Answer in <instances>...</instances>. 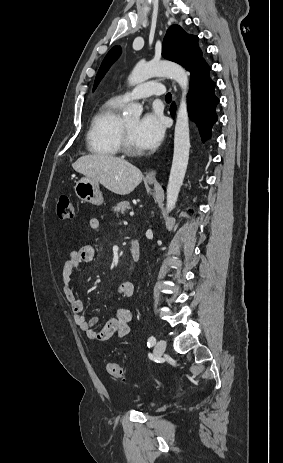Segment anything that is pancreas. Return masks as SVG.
Wrapping results in <instances>:
<instances>
[{"label":"pancreas","instance_id":"pancreas-1","mask_svg":"<svg viewBox=\"0 0 283 463\" xmlns=\"http://www.w3.org/2000/svg\"><path fill=\"white\" fill-rule=\"evenodd\" d=\"M131 209L130 203L128 201L119 202L116 206L113 207V211L117 214L120 212L124 214L126 211Z\"/></svg>","mask_w":283,"mask_h":463}]
</instances>
